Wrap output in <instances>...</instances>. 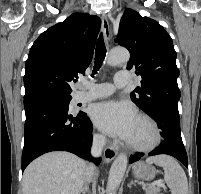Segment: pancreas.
Listing matches in <instances>:
<instances>
[{
    "label": "pancreas",
    "instance_id": "1",
    "mask_svg": "<svg viewBox=\"0 0 201 194\" xmlns=\"http://www.w3.org/2000/svg\"><path fill=\"white\" fill-rule=\"evenodd\" d=\"M160 189L158 187H149L146 190V194H159Z\"/></svg>",
    "mask_w": 201,
    "mask_h": 194
}]
</instances>
